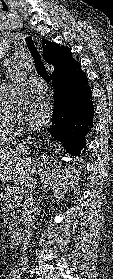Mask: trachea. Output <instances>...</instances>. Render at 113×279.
Here are the masks:
<instances>
[{
	"label": "trachea",
	"instance_id": "3493384b",
	"mask_svg": "<svg viewBox=\"0 0 113 279\" xmlns=\"http://www.w3.org/2000/svg\"><path fill=\"white\" fill-rule=\"evenodd\" d=\"M27 47L33 57L34 63H35V68L37 73L45 80L50 81V77L47 73L46 67L43 63V60L41 58V55L39 51L37 50V47L32 39V37L28 36L25 38Z\"/></svg>",
	"mask_w": 113,
	"mask_h": 279
}]
</instances>
